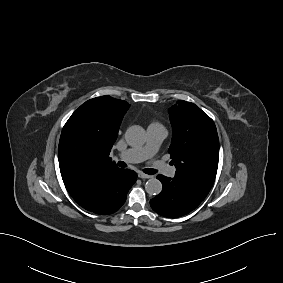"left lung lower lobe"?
<instances>
[{
  "label": "left lung lower lobe",
  "instance_id": "0a47b994",
  "mask_svg": "<svg viewBox=\"0 0 283 283\" xmlns=\"http://www.w3.org/2000/svg\"><path fill=\"white\" fill-rule=\"evenodd\" d=\"M157 179L162 182L163 189L150 200V205L161 216L181 217L190 213L205 199L180 180L163 175H158Z\"/></svg>",
  "mask_w": 283,
  "mask_h": 283
}]
</instances>
